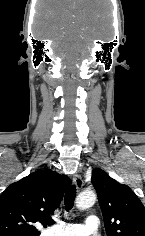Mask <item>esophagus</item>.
<instances>
[{
    "label": "esophagus",
    "instance_id": "obj_1",
    "mask_svg": "<svg viewBox=\"0 0 145 236\" xmlns=\"http://www.w3.org/2000/svg\"><path fill=\"white\" fill-rule=\"evenodd\" d=\"M73 182L78 190H80L83 187V180L80 175L74 174Z\"/></svg>",
    "mask_w": 145,
    "mask_h": 236
}]
</instances>
